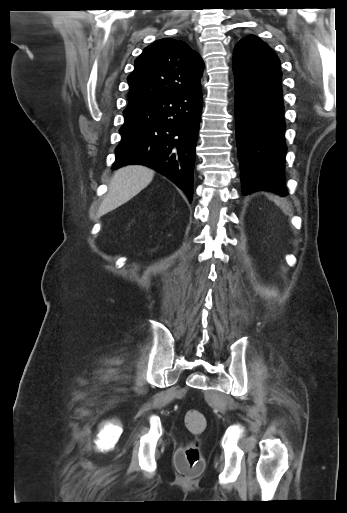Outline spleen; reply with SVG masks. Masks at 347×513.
<instances>
[{"label": "spleen", "mask_w": 347, "mask_h": 513, "mask_svg": "<svg viewBox=\"0 0 347 513\" xmlns=\"http://www.w3.org/2000/svg\"><path fill=\"white\" fill-rule=\"evenodd\" d=\"M275 202H277V204H279V202L277 200H275Z\"/></svg>", "instance_id": "spleen-1"}]
</instances>
